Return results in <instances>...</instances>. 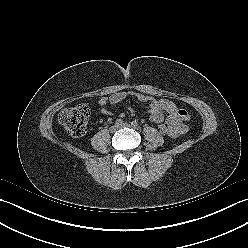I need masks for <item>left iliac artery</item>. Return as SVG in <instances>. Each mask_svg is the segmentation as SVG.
Wrapping results in <instances>:
<instances>
[{"instance_id":"obj_1","label":"left iliac artery","mask_w":248,"mask_h":248,"mask_svg":"<svg viewBox=\"0 0 248 248\" xmlns=\"http://www.w3.org/2000/svg\"><path fill=\"white\" fill-rule=\"evenodd\" d=\"M131 124H132L133 127H137L138 126V123L136 121H133Z\"/></svg>"}]
</instances>
